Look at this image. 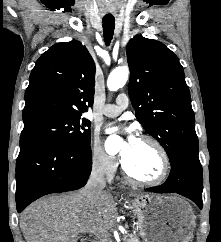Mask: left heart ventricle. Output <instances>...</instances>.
I'll return each mask as SVG.
<instances>
[{
  "instance_id": "left-heart-ventricle-1",
  "label": "left heart ventricle",
  "mask_w": 221,
  "mask_h": 242,
  "mask_svg": "<svg viewBox=\"0 0 221 242\" xmlns=\"http://www.w3.org/2000/svg\"><path fill=\"white\" fill-rule=\"evenodd\" d=\"M124 145L122 146L123 150ZM129 172L145 180L156 178L161 171V159L155 147L146 141L138 140L135 146L123 156Z\"/></svg>"
}]
</instances>
